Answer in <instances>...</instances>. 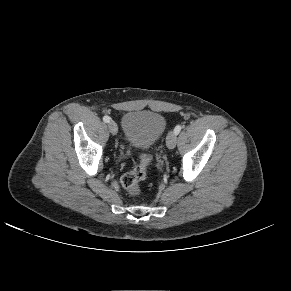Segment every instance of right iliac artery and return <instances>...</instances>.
<instances>
[{
    "instance_id": "1",
    "label": "right iliac artery",
    "mask_w": 291,
    "mask_h": 291,
    "mask_svg": "<svg viewBox=\"0 0 291 291\" xmlns=\"http://www.w3.org/2000/svg\"><path fill=\"white\" fill-rule=\"evenodd\" d=\"M103 121H104L105 123H109V122H110V117H109V116H104V117H103Z\"/></svg>"
}]
</instances>
